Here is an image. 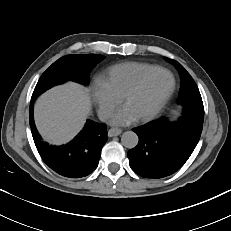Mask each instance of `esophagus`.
<instances>
[{
	"label": "esophagus",
	"mask_w": 231,
	"mask_h": 231,
	"mask_svg": "<svg viewBox=\"0 0 231 231\" xmlns=\"http://www.w3.org/2000/svg\"><path fill=\"white\" fill-rule=\"evenodd\" d=\"M122 133V129L119 128H111L108 130V137L118 136Z\"/></svg>",
	"instance_id": "obj_1"
}]
</instances>
